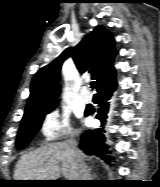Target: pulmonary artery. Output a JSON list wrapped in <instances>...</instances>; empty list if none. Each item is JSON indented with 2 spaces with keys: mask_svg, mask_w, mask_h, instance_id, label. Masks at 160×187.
I'll return each mask as SVG.
<instances>
[{
  "mask_svg": "<svg viewBox=\"0 0 160 187\" xmlns=\"http://www.w3.org/2000/svg\"><path fill=\"white\" fill-rule=\"evenodd\" d=\"M80 97L84 103H90L92 101V97L89 93H81Z\"/></svg>",
  "mask_w": 160,
  "mask_h": 187,
  "instance_id": "1",
  "label": "pulmonary artery"
}]
</instances>
